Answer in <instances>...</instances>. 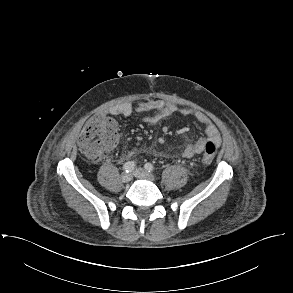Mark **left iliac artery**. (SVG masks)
<instances>
[{"label": "left iliac artery", "instance_id": "left-iliac-artery-1", "mask_svg": "<svg viewBox=\"0 0 293 293\" xmlns=\"http://www.w3.org/2000/svg\"><path fill=\"white\" fill-rule=\"evenodd\" d=\"M144 167L149 172H152L155 169L154 166L151 163H146Z\"/></svg>", "mask_w": 293, "mask_h": 293}]
</instances>
